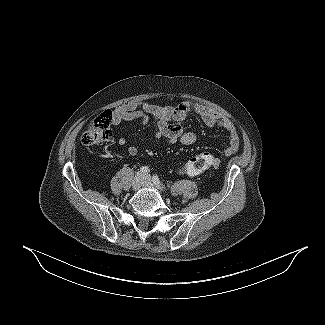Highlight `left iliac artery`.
<instances>
[{
    "label": "left iliac artery",
    "instance_id": "left-iliac-artery-1",
    "mask_svg": "<svg viewBox=\"0 0 325 325\" xmlns=\"http://www.w3.org/2000/svg\"><path fill=\"white\" fill-rule=\"evenodd\" d=\"M152 181H153V183H154L156 186H158V187H160V188H163V187H162V184H161V182H160V180H159V178H158L157 175H153V177H152Z\"/></svg>",
    "mask_w": 325,
    "mask_h": 325
}]
</instances>
